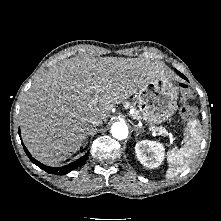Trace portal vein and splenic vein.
Wrapping results in <instances>:
<instances>
[{"mask_svg": "<svg viewBox=\"0 0 221 221\" xmlns=\"http://www.w3.org/2000/svg\"><path fill=\"white\" fill-rule=\"evenodd\" d=\"M96 101V99L95 98H93L92 99V102H95ZM158 131V130H157ZM159 134H161L160 132H159ZM170 135H172V134H170Z\"/></svg>", "mask_w": 221, "mask_h": 221, "instance_id": "obj_1", "label": "portal vein and splenic vein"}]
</instances>
